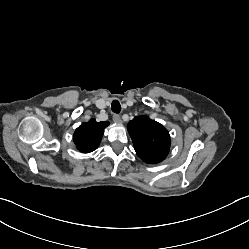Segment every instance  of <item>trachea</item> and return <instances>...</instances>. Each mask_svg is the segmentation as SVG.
Returning <instances> with one entry per match:
<instances>
[{
  "instance_id": "trachea-1",
  "label": "trachea",
  "mask_w": 249,
  "mask_h": 249,
  "mask_svg": "<svg viewBox=\"0 0 249 249\" xmlns=\"http://www.w3.org/2000/svg\"><path fill=\"white\" fill-rule=\"evenodd\" d=\"M111 109L114 113H119L121 111V105L119 101L114 100L111 104Z\"/></svg>"
}]
</instances>
